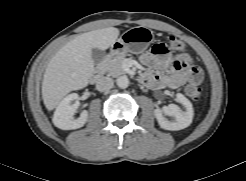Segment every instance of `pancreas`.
Segmentation results:
<instances>
[{
  "instance_id": "obj_1",
  "label": "pancreas",
  "mask_w": 246,
  "mask_h": 181,
  "mask_svg": "<svg viewBox=\"0 0 246 181\" xmlns=\"http://www.w3.org/2000/svg\"><path fill=\"white\" fill-rule=\"evenodd\" d=\"M124 58L125 55H120L114 57L113 59H105L100 66L101 72L108 73V75L113 77L125 74L127 71L123 66Z\"/></svg>"
}]
</instances>
